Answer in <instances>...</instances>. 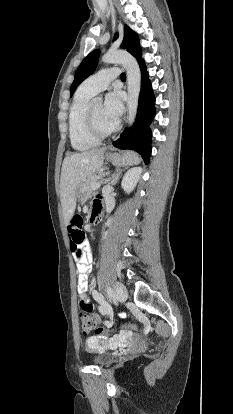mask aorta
<instances>
[{"label":"aorta","mask_w":233,"mask_h":414,"mask_svg":"<svg viewBox=\"0 0 233 414\" xmlns=\"http://www.w3.org/2000/svg\"><path fill=\"white\" fill-rule=\"evenodd\" d=\"M102 61L107 64H121L127 71L128 81V124L131 126L136 118L138 100L141 86V73L136 59L126 51L109 50L102 56ZM94 103H102V98L96 97Z\"/></svg>","instance_id":"762f6f07"}]
</instances>
